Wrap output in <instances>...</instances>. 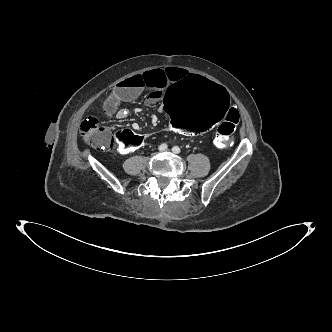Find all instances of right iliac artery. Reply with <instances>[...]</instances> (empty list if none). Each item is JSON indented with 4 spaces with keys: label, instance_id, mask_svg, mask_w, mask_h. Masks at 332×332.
Here are the masks:
<instances>
[{
    "label": "right iliac artery",
    "instance_id": "obj_1",
    "mask_svg": "<svg viewBox=\"0 0 332 332\" xmlns=\"http://www.w3.org/2000/svg\"><path fill=\"white\" fill-rule=\"evenodd\" d=\"M167 144H165V143H163V144H161L159 147H158V149L160 150V151H164V150H166L167 149Z\"/></svg>",
    "mask_w": 332,
    "mask_h": 332
}]
</instances>
